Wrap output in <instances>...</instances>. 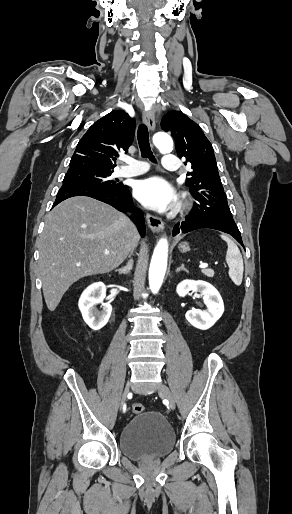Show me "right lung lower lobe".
<instances>
[{"mask_svg":"<svg viewBox=\"0 0 292 514\" xmlns=\"http://www.w3.org/2000/svg\"><path fill=\"white\" fill-rule=\"evenodd\" d=\"M126 185L118 188H104L93 185L84 184H66L62 185L57 193L55 203L56 206L61 201L74 196H88L99 201L105 202L117 210L122 212H131L130 218L136 224L142 237L145 236V221L143 213L136 208L132 202V196ZM52 207V208H53Z\"/></svg>","mask_w":292,"mask_h":514,"instance_id":"98d812e1","label":"right lung lower lobe"}]
</instances>
